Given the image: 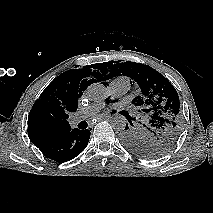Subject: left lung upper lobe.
I'll list each match as a JSON object with an SVG mask.
<instances>
[{"instance_id":"5c2ea615","label":"left lung upper lobe","mask_w":213,"mask_h":213,"mask_svg":"<svg viewBox=\"0 0 213 213\" xmlns=\"http://www.w3.org/2000/svg\"><path fill=\"white\" fill-rule=\"evenodd\" d=\"M98 68L104 79L125 75L141 89L132 103L141 113L139 125H128L122 135L123 144L135 155L156 158L167 153L178 140L183 117L176 89L161 73L148 65L136 62L110 61Z\"/></svg>"}]
</instances>
